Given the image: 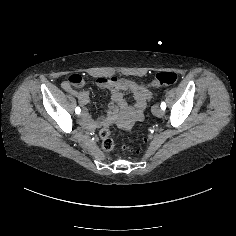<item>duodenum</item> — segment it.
Wrapping results in <instances>:
<instances>
[{
	"instance_id": "obj_1",
	"label": "duodenum",
	"mask_w": 236,
	"mask_h": 236,
	"mask_svg": "<svg viewBox=\"0 0 236 236\" xmlns=\"http://www.w3.org/2000/svg\"><path fill=\"white\" fill-rule=\"evenodd\" d=\"M107 86H109L112 91H113V96H112V100L119 106L123 107L125 105L124 100L122 99L121 94L119 93V89H130L132 91L136 90V86L126 82V81H114L113 79H108L106 81ZM75 96H77L79 98V100H82V96H80L77 93H74ZM86 99V98H84ZM137 104H136V111L137 113L140 112L141 106L144 103V98L142 96H138L137 98ZM85 123L89 128L94 127L96 124L93 123L88 116L85 117ZM103 123L105 124H110L113 123V120H105Z\"/></svg>"
}]
</instances>
